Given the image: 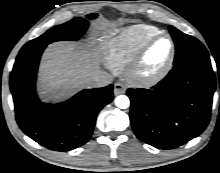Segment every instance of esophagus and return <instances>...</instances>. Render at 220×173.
<instances>
[{
  "mask_svg": "<svg viewBox=\"0 0 220 173\" xmlns=\"http://www.w3.org/2000/svg\"><path fill=\"white\" fill-rule=\"evenodd\" d=\"M126 92V86L120 82H117L114 84V94L120 95V94H124Z\"/></svg>",
  "mask_w": 220,
  "mask_h": 173,
  "instance_id": "1",
  "label": "esophagus"
}]
</instances>
